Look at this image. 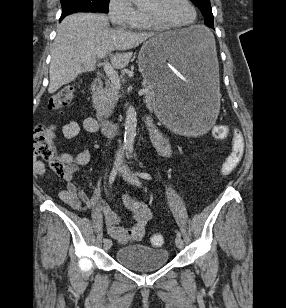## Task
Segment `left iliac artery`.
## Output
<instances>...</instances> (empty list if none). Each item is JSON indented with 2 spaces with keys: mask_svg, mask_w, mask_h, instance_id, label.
Here are the masks:
<instances>
[{
  "mask_svg": "<svg viewBox=\"0 0 286 308\" xmlns=\"http://www.w3.org/2000/svg\"><path fill=\"white\" fill-rule=\"evenodd\" d=\"M129 152H130L129 157L131 158V157H132V152H133V147H132V146L129 147ZM136 174H137L139 177H141V178H143V179H145V180H150V179H151V176H150V174H148V173L136 172ZM177 236H178V237H181V232H180V231H177Z\"/></svg>",
  "mask_w": 286,
  "mask_h": 308,
  "instance_id": "obj_1",
  "label": "left iliac artery"
}]
</instances>
